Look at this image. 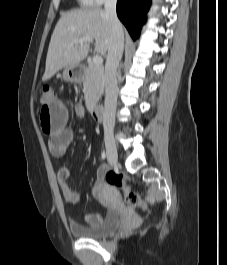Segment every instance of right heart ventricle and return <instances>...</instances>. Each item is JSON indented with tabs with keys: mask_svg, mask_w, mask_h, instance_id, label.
Segmentation results:
<instances>
[{
	"mask_svg": "<svg viewBox=\"0 0 227 265\" xmlns=\"http://www.w3.org/2000/svg\"><path fill=\"white\" fill-rule=\"evenodd\" d=\"M84 3H88L86 0H82Z\"/></svg>",
	"mask_w": 227,
	"mask_h": 265,
	"instance_id": "right-heart-ventricle-1",
	"label": "right heart ventricle"
}]
</instances>
